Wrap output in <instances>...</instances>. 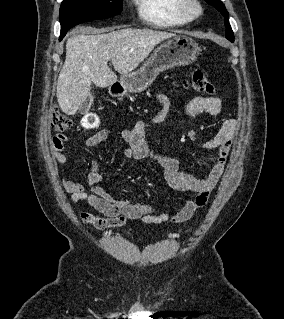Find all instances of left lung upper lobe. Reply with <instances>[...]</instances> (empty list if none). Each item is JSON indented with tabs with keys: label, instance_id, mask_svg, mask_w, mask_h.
Returning <instances> with one entry per match:
<instances>
[{
	"label": "left lung upper lobe",
	"instance_id": "left-lung-upper-lobe-1",
	"mask_svg": "<svg viewBox=\"0 0 284 319\" xmlns=\"http://www.w3.org/2000/svg\"><path fill=\"white\" fill-rule=\"evenodd\" d=\"M210 5L214 6L225 18V26H226V38L230 40L231 42L234 41V35L233 31L231 29V26L229 24V18H228V12L223 5V3L220 0H205Z\"/></svg>",
	"mask_w": 284,
	"mask_h": 319
}]
</instances>
